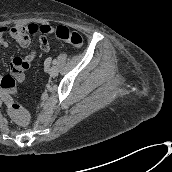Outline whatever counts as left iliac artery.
<instances>
[{"mask_svg":"<svg viewBox=\"0 0 172 172\" xmlns=\"http://www.w3.org/2000/svg\"><path fill=\"white\" fill-rule=\"evenodd\" d=\"M48 61H51V58H49ZM53 63H56V60H53Z\"/></svg>","mask_w":172,"mask_h":172,"instance_id":"obj_1","label":"left iliac artery"}]
</instances>
